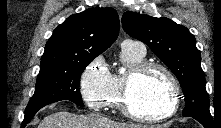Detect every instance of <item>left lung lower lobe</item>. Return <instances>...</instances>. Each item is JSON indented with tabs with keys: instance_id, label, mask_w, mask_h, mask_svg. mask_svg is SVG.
<instances>
[{
	"instance_id": "obj_1",
	"label": "left lung lower lobe",
	"mask_w": 221,
	"mask_h": 128,
	"mask_svg": "<svg viewBox=\"0 0 221 128\" xmlns=\"http://www.w3.org/2000/svg\"><path fill=\"white\" fill-rule=\"evenodd\" d=\"M192 118L199 121L205 128H214L215 122L212 117L192 116Z\"/></svg>"
}]
</instances>
